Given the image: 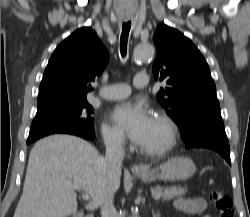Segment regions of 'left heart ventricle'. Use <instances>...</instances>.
<instances>
[{
	"instance_id": "obj_1",
	"label": "left heart ventricle",
	"mask_w": 250,
	"mask_h": 217,
	"mask_svg": "<svg viewBox=\"0 0 250 217\" xmlns=\"http://www.w3.org/2000/svg\"><path fill=\"white\" fill-rule=\"evenodd\" d=\"M166 141V129L163 124L156 118H152L151 126L140 144L144 148H157Z\"/></svg>"
}]
</instances>
